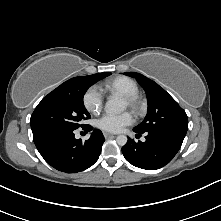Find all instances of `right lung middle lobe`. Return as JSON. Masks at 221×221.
Wrapping results in <instances>:
<instances>
[{
	"instance_id": "right-lung-middle-lobe-1",
	"label": "right lung middle lobe",
	"mask_w": 221,
	"mask_h": 221,
	"mask_svg": "<svg viewBox=\"0 0 221 221\" xmlns=\"http://www.w3.org/2000/svg\"><path fill=\"white\" fill-rule=\"evenodd\" d=\"M110 72L75 77L64 82L46 95L31 115L32 132L48 127H83L90 114L83 104V96L96 81L109 76Z\"/></svg>"
}]
</instances>
